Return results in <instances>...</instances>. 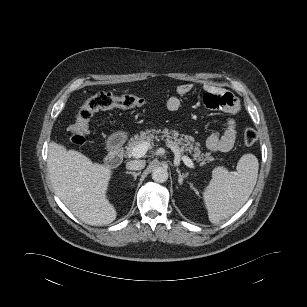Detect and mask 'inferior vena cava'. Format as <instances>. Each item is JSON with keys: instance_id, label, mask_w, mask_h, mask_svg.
I'll list each match as a JSON object with an SVG mask.
<instances>
[{"instance_id": "obj_1", "label": "inferior vena cava", "mask_w": 307, "mask_h": 307, "mask_svg": "<svg viewBox=\"0 0 307 307\" xmlns=\"http://www.w3.org/2000/svg\"><path fill=\"white\" fill-rule=\"evenodd\" d=\"M146 162L145 160H131L127 162L126 168L128 170H141L145 167Z\"/></svg>"}]
</instances>
